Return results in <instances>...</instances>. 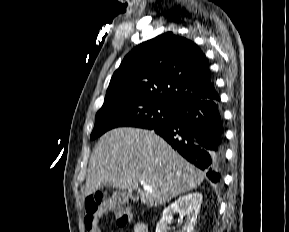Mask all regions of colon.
<instances>
[{
    "mask_svg": "<svg viewBox=\"0 0 289 232\" xmlns=\"http://www.w3.org/2000/svg\"><path fill=\"white\" fill-rule=\"evenodd\" d=\"M103 213L112 214L120 227L126 226L131 219L129 209L112 206L102 195H92L85 200L84 227L86 232H101L98 220Z\"/></svg>",
    "mask_w": 289,
    "mask_h": 232,
    "instance_id": "obj_1",
    "label": "colon"
}]
</instances>
